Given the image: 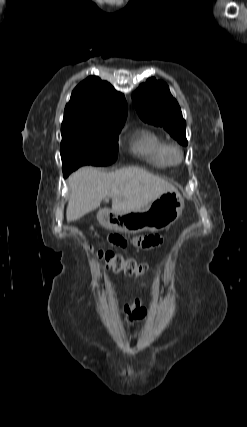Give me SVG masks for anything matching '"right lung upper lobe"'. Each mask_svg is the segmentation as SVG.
<instances>
[{
  "label": "right lung upper lobe",
  "instance_id": "1",
  "mask_svg": "<svg viewBox=\"0 0 247 427\" xmlns=\"http://www.w3.org/2000/svg\"><path fill=\"white\" fill-rule=\"evenodd\" d=\"M126 115L124 96L96 76L88 77L73 90L64 111L65 118H78L103 126L124 125Z\"/></svg>",
  "mask_w": 247,
  "mask_h": 427
}]
</instances>
